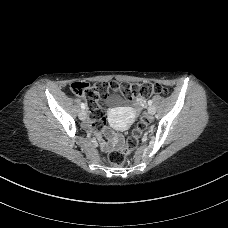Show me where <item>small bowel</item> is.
<instances>
[{
  "label": "small bowel",
  "instance_id": "c3829d8e",
  "mask_svg": "<svg viewBox=\"0 0 228 228\" xmlns=\"http://www.w3.org/2000/svg\"><path fill=\"white\" fill-rule=\"evenodd\" d=\"M137 106L143 108V101L138 100ZM114 124L117 128L124 129L129 125V122H125L124 124H120L118 121L114 120ZM87 127L91 128V121L87 123ZM98 138L101 142V147L103 150L108 151L113 147H120L124 142V136L120 133H116L113 129L106 127L103 132L98 134Z\"/></svg>",
  "mask_w": 228,
  "mask_h": 228
}]
</instances>
